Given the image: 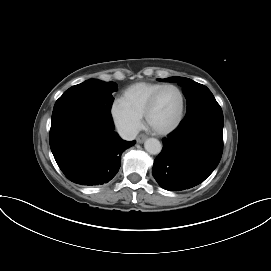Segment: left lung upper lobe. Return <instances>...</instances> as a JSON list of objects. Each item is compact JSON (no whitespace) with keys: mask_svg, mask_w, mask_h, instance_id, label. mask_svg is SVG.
Segmentation results:
<instances>
[{"mask_svg":"<svg viewBox=\"0 0 271 271\" xmlns=\"http://www.w3.org/2000/svg\"><path fill=\"white\" fill-rule=\"evenodd\" d=\"M159 80L162 82H177L183 87L182 90L187 99L186 113L200 105L217 102L211 91L206 86L199 84L191 79L182 77H170Z\"/></svg>","mask_w":271,"mask_h":271,"instance_id":"1","label":"left lung upper lobe"}]
</instances>
